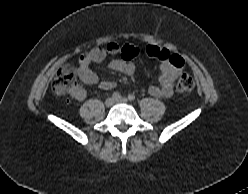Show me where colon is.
I'll return each mask as SVG.
<instances>
[{"label": "colon", "instance_id": "obj_1", "mask_svg": "<svg viewBox=\"0 0 248 194\" xmlns=\"http://www.w3.org/2000/svg\"><path fill=\"white\" fill-rule=\"evenodd\" d=\"M77 70L72 64H64L54 78L52 88L57 94H64L76 87ZM195 86L194 79L189 74H182L177 83L176 90L181 94L190 93Z\"/></svg>", "mask_w": 248, "mask_h": 194}]
</instances>
